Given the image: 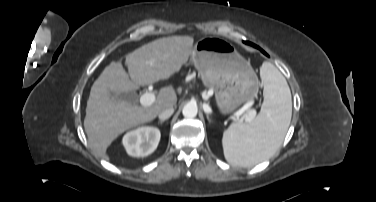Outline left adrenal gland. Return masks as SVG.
Here are the masks:
<instances>
[{
    "mask_svg": "<svg viewBox=\"0 0 376 202\" xmlns=\"http://www.w3.org/2000/svg\"><path fill=\"white\" fill-rule=\"evenodd\" d=\"M207 119H208L209 121H211L210 118H209V115H207Z\"/></svg>",
    "mask_w": 376,
    "mask_h": 202,
    "instance_id": "1",
    "label": "left adrenal gland"
}]
</instances>
